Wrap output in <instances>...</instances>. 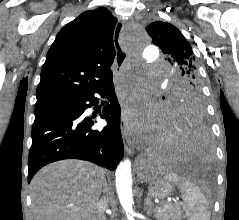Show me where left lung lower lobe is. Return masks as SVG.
<instances>
[{"label":"left lung lower lobe","mask_w":239,"mask_h":220,"mask_svg":"<svg viewBox=\"0 0 239 220\" xmlns=\"http://www.w3.org/2000/svg\"><path fill=\"white\" fill-rule=\"evenodd\" d=\"M167 127L170 142L158 163L191 165L212 158V144L205 112L200 109L175 112L169 109Z\"/></svg>","instance_id":"obj_1"}]
</instances>
